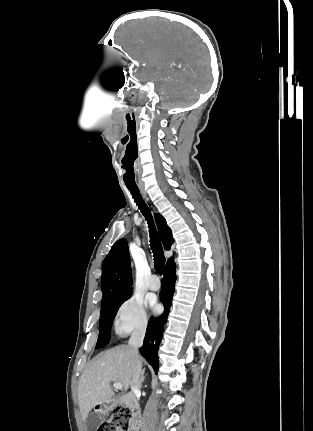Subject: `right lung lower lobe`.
Masks as SVG:
<instances>
[{
  "label": "right lung lower lobe",
  "instance_id": "98d812e1",
  "mask_svg": "<svg viewBox=\"0 0 313 431\" xmlns=\"http://www.w3.org/2000/svg\"><path fill=\"white\" fill-rule=\"evenodd\" d=\"M176 266L172 260L166 264L164 276L162 279V287L160 292L161 300L164 304V312L160 317H151L148 323L144 344L140 348L141 355L153 367L155 372L158 371V347L163 335L164 325L170 311L172 297L175 290V274Z\"/></svg>",
  "mask_w": 313,
  "mask_h": 431
}]
</instances>
